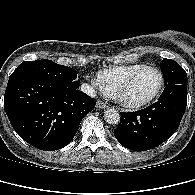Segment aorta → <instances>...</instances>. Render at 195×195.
<instances>
[{"instance_id": "1", "label": "aorta", "mask_w": 195, "mask_h": 195, "mask_svg": "<svg viewBox=\"0 0 195 195\" xmlns=\"http://www.w3.org/2000/svg\"><path fill=\"white\" fill-rule=\"evenodd\" d=\"M104 119L108 124H118L120 121V114L114 108H107L104 111Z\"/></svg>"}]
</instances>
